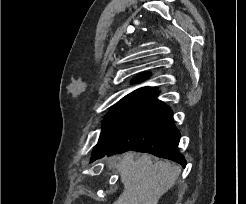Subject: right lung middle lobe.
I'll list each match as a JSON object with an SVG mask.
<instances>
[{"mask_svg":"<svg viewBox=\"0 0 246 204\" xmlns=\"http://www.w3.org/2000/svg\"><path fill=\"white\" fill-rule=\"evenodd\" d=\"M133 101H119L111 108L104 119L98 144L94 147L92 157L105 155L116 139L121 123L133 104Z\"/></svg>","mask_w":246,"mask_h":204,"instance_id":"1","label":"right lung middle lobe"}]
</instances>
